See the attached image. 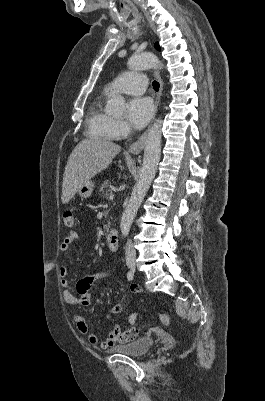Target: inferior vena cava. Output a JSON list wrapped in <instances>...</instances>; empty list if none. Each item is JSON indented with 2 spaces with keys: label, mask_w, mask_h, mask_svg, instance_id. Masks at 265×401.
Wrapping results in <instances>:
<instances>
[{
  "label": "inferior vena cava",
  "mask_w": 265,
  "mask_h": 401,
  "mask_svg": "<svg viewBox=\"0 0 265 401\" xmlns=\"http://www.w3.org/2000/svg\"><path fill=\"white\" fill-rule=\"evenodd\" d=\"M126 259L128 261V259H136V251L133 247V243H131V241H127L126 243Z\"/></svg>",
  "instance_id": "1"
}]
</instances>
